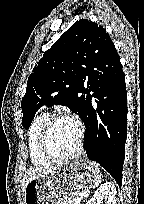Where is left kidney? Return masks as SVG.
<instances>
[{
  "label": "left kidney",
  "instance_id": "5707ae66",
  "mask_svg": "<svg viewBox=\"0 0 144 204\" xmlns=\"http://www.w3.org/2000/svg\"><path fill=\"white\" fill-rule=\"evenodd\" d=\"M116 188L112 182L104 183L87 202V204H102L105 199V204H116Z\"/></svg>",
  "mask_w": 144,
  "mask_h": 204
}]
</instances>
